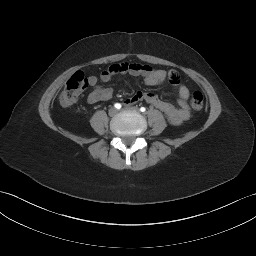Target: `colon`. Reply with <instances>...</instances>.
<instances>
[{
	"label": "colon",
	"mask_w": 256,
	"mask_h": 256,
	"mask_svg": "<svg viewBox=\"0 0 256 256\" xmlns=\"http://www.w3.org/2000/svg\"><path fill=\"white\" fill-rule=\"evenodd\" d=\"M88 80L82 72L74 73L66 82L60 95V103L63 106L73 105L83 90L88 86ZM191 107L195 110L202 109L204 105V95L196 91L192 94L190 100Z\"/></svg>",
	"instance_id": "5ec220e1"
}]
</instances>
